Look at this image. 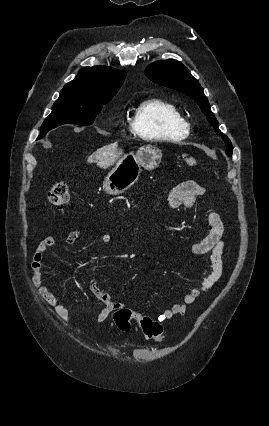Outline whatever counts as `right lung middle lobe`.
<instances>
[{
    "instance_id": "obj_1",
    "label": "right lung middle lobe",
    "mask_w": 269,
    "mask_h": 426,
    "mask_svg": "<svg viewBox=\"0 0 269 426\" xmlns=\"http://www.w3.org/2000/svg\"><path fill=\"white\" fill-rule=\"evenodd\" d=\"M112 97H90L82 94L60 93L52 107L51 114L41 126L39 138H42L49 130L73 123L78 125H91L104 104Z\"/></svg>"
}]
</instances>
